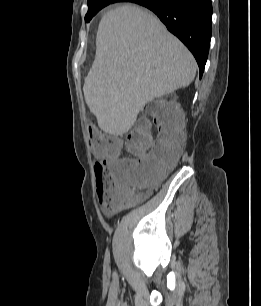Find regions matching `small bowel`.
Returning <instances> with one entry per match:
<instances>
[{
  "mask_svg": "<svg viewBox=\"0 0 261 306\" xmlns=\"http://www.w3.org/2000/svg\"><path fill=\"white\" fill-rule=\"evenodd\" d=\"M120 159H123V158H120ZM100 163H101L103 166H105V167H109V166L111 165V158L106 157V158L102 159V160L100 161ZM147 195H148V192L144 194V196H147Z\"/></svg>",
  "mask_w": 261,
  "mask_h": 306,
  "instance_id": "1",
  "label": "small bowel"
}]
</instances>
